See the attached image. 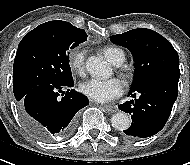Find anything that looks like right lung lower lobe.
I'll return each instance as SVG.
<instances>
[{
    "label": "right lung lower lobe",
    "mask_w": 190,
    "mask_h": 165,
    "mask_svg": "<svg viewBox=\"0 0 190 165\" xmlns=\"http://www.w3.org/2000/svg\"><path fill=\"white\" fill-rule=\"evenodd\" d=\"M73 82L41 84L28 91L18 103L20 117L27 129L39 140L51 142L57 137H69L75 127L78 111L87 106L86 96L71 88ZM65 95L60 98L59 94Z\"/></svg>",
    "instance_id": "98d812e1"
}]
</instances>
